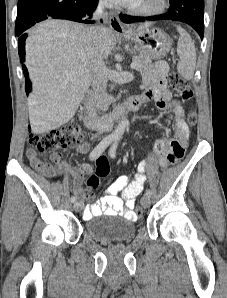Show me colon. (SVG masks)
Here are the masks:
<instances>
[{
    "label": "colon",
    "mask_w": 227,
    "mask_h": 298,
    "mask_svg": "<svg viewBox=\"0 0 227 298\" xmlns=\"http://www.w3.org/2000/svg\"><path fill=\"white\" fill-rule=\"evenodd\" d=\"M169 83L174 91H176L184 100H190L193 97V91L182 76L177 72L172 71L169 75ZM28 92L32 90L30 81L26 84ZM197 115L194 110H190L187 116V121L190 125H195ZM83 139V133L78 126L67 125L59 130L49 131L44 134H30L29 142L42 153L57 154L61 150L72 147L80 143ZM109 173V164L104 157H100L96 163V173L91 175L87 181L90 189L95 190L100 185V178L107 176ZM139 218H143L141 208H136Z\"/></svg>",
    "instance_id": "obj_1"
}]
</instances>
